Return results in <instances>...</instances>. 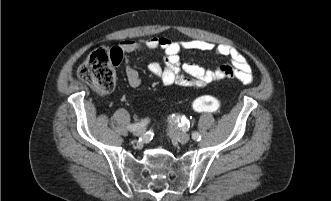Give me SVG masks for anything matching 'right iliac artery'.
Here are the masks:
<instances>
[{
    "instance_id": "right-iliac-artery-1",
    "label": "right iliac artery",
    "mask_w": 331,
    "mask_h": 201,
    "mask_svg": "<svg viewBox=\"0 0 331 201\" xmlns=\"http://www.w3.org/2000/svg\"><path fill=\"white\" fill-rule=\"evenodd\" d=\"M148 123V119H144V120H142L140 123H136V124H130V125H128V130L129 131H134L137 127H139V126H144V125H146Z\"/></svg>"
}]
</instances>
